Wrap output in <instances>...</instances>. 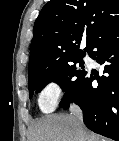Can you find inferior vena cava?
Returning <instances> with one entry per match:
<instances>
[{"label":"inferior vena cava","instance_id":"inferior-vena-cava-1","mask_svg":"<svg viewBox=\"0 0 119 141\" xmlns=\"http://www.w3.org/2000/svg\"><path fill=\"white\" fill-rule=\"evenodd\" d=\"M70 112L71 115H73L79 123L83 124V113L79 106H77L76 104H71Z\"/></svg>","mask_w":119,"mask_h":141}]
</instances>
